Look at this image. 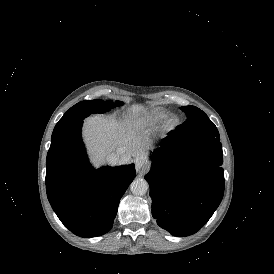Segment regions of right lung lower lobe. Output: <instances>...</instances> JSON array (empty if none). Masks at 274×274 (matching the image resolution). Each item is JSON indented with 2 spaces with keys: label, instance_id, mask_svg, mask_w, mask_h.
Listing matches in <instances>:
<instances>
[{
  "label": "right lung lower lobe",
  "instance_id": "right-lung-lower-lobe-1",
  "mask_svg": "<svg viewBox=\"0 0 274 274\" xmlns=\"http://www.w3.org/2000/svg\"><path fill=\"white\" fill-rule=\"evenodd\" d=\"M83 120L51 141L46 160L48 200L61 222L80 237L107 233L134 179L133 164L94 170L81 139Z\"/></svg>",
  "mask_w": 274,
  "mask_h": 274
}]
</instances>
